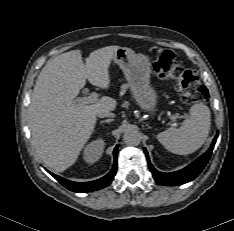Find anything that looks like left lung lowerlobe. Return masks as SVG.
Returning a JSON list of instances; mask_svg holds the SVG:
<instances>
[{
    "label": "left lung lower lobe",
    "instance_id": "0a47b994",
    "mask_svg": "<svg viewBox=\"0 0 234 231\" xmlns=\"http://www.w3.org/2000/svg\"><path fill=\"white\" fill-rule=\"evenodd\" d=\"M217 137L218 133L216 134L210 149L205 154H203L200 158H198L196 161H194L184 169L172 173H162L157 171L150 163L148 153L146 149H144L150 171L152 172L155 181L161 185L173 186V185H180L187 183L193 180L194 178H196L207 164L211 156L212 150L214 148Z\"/></svg>",
    "mask_w": 234,
    "mask_h": 231
}]
</instances>
